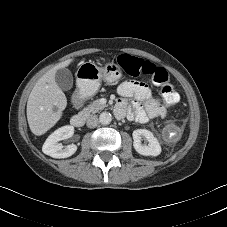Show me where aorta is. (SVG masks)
<instances>
[{
  "label": "aorta",
  "instance_id": "762f6f07",
  "mask_svg": "<svg viewBox=\"0 0 227 227\" xmlns=\"http://www.w3.org/2000/svg\"><path fill=\"white\" fill-rule=\"evenodd\" d=\"M112 121V115L108 112H103L99 116V122L103 125H108Z\"/></svg>",
  "mask_w": 227,
  "mask_h": 227
}]
</instances>
